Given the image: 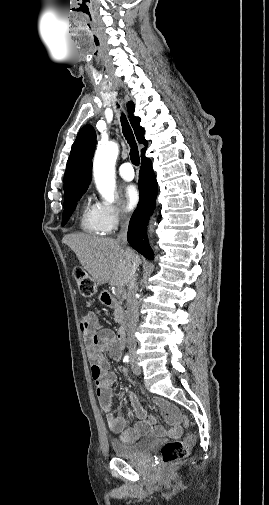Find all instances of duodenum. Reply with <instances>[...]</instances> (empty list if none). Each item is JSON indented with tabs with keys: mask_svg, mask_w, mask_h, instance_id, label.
<instances>
[{
	"mask_svg": "<svg viewBox=\"0 0 269 505\" xmlns=\"http://www.w3.org/2000/svg\"><path fill=\"white\" fill-rule=\"evenodd\" d=\"M101 301L109 308H114L118 305L117 299L109 292H103L101 294ZM126 329V323L122 322L117 330L116 338L120 346H124L126 342Z\"/></svg>",
	"mask_w": 269,
	"mask_h": 505,
	"instance_id": "duodenum-1",
	"label": "duodenum"
}]
</instances>
